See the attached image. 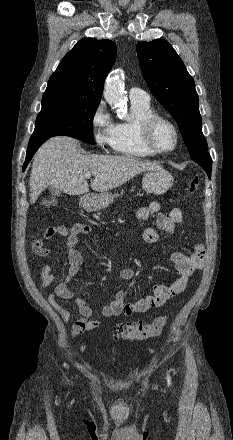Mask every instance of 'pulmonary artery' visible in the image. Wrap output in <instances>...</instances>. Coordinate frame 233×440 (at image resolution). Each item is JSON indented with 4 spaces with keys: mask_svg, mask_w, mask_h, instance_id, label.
<instances>
[{
    "mask_svg": "<svg viewBox=\"0 0 233 440\" xmlns=\"http://www.w3.org/2000/svg\"><path fill=\"white\" fill-rule=\"evenodd\" d=\"M129 98L131 102L149 103V95L142 89L133 87L129 90Z\"/></svg>",
    "mask_w": 233,
    "mask_h": 440,
    "instance_id": "1",
    "label": "pulmonary artery"
}]
</instances>
